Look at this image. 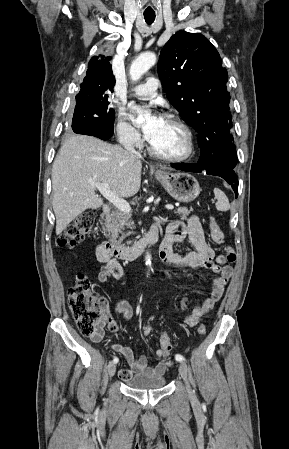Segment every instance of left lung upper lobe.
Masks as SVG:
<instances>
[{"instance_id":"left-lung-upper-lobe-1","label":"left lung upper lobe","mask_w":289,"mask_h":449,"mask_svg":"<svg viewBox=\"0 0 289 449\" xmlns=\"http://www.w3.org/2000/svg\"><path fill=\"white\" fill-rule=\"evenodd\" d=\"M157 69L170 103L198 133L199 160L219 172L235 169L228 73L215 47L199 33L177 32L161 50Z\"/></svg>"}]
</instances>
